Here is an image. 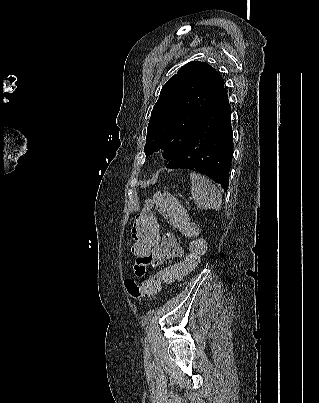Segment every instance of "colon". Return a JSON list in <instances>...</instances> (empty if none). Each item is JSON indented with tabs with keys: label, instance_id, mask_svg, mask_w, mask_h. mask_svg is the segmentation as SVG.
<instances>
[{
	"label": "colon",
	"instance_id": "colon-1",
	"mask_svg": "<svg viewBox=\"0 0 319 403\" xmlns=\"http://www.w3.org/2000/svg\"><path fill=\"white\" fill-rule=\"evenodd\" d=\"M153 208L162 213L169 223L178 227L185 235L194 236L196 234V227L186 218L185 210L178 199L167 192H157L152 198L145 201V209L132 220L133 231H131L128 246L129 258H134L136 263L142 252L149 253L152 251V247H158L161 242L163 222L158 218H153ZM205 251L206 243L203 240L195 239L189 245V253L177 267L162 269L142 283L140 281L132 283L128 277L125 282L129 300L134 301L156 295L163 282L170 283L176 279L178 274L192 271Z\"/></svg>",
	"mask_w": 319,
	"mask_h": 403
}]
</instances>
